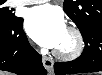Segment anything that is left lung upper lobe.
I'll return each mask as SVG.
<instances>
[{"label": "left lung upper lobe", "instance_id": "left-lung-upper-lobe-1", "mask_svg": "<svg viewBox=\"0 0 102 75\" xmlns=\"http://www.w3.org/2000/svg\"><path fill=\"white\" fill-rule=\"evenodd\" d=\"M63 5L65 13L80 30L102 26V0H64Z\"/></svg>", "mask_w": 102, "mask_h": 75}]
</instances>
